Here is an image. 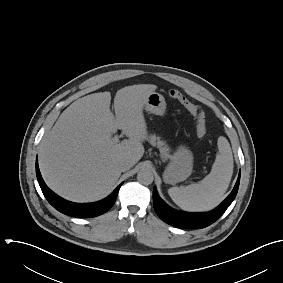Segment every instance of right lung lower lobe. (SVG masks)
I'll return each instance as SVG.
<instances>
[{
    "label": "right lung lower lobe",
    "mask_w": 283,
    "mask_h": 283,
    "mask_svg": "<svg viewBox=\"0 0 283 283\" xmlns=\"http://www.w3.org/2000/svg\"><path fill=\"white\" fill-rule=\"evenodd\" d=\"M36 174H37V179L39 182V185L41 187V190L48 200V202L58 211L61 213H64L69 216L73 217H80V218H90V217H95L98 215H101L105 212H107L114 204L118 191L121 187L119 185L113 193H111L107 198L95 202V203H73L70 201H67L58 195H56L54 192H52L45 184L43 181L38 163L36 162Z\"/></svg>",
    "instance_id": "98d812e1"
}]
</instances>
